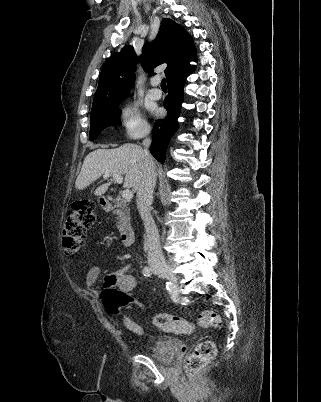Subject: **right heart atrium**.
<instances>
[{
    "label": "right heart atrium",
    "mask_w": 321,
    "mask_h": 402,
    "mask_svg": "<svg viewBox=\"0 0 321 402\" xmlns=\"http://www.w3.org/2000/svg\"><path fill=\"white\" fill-rule=\"evenodd\" d=\"M118 119L128 138L139 139L146 136L149 132L148 123L133 105H126L121 108Z\"/></svg>",
    "instance_id": "1"
}]
</instances>
